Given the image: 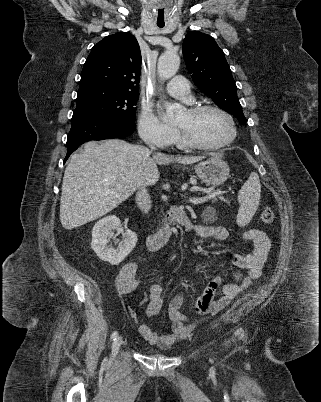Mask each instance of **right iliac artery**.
I'll return each mask as SVG.
<instances>
[{
    "instance_id": "1",
    "label": "right iliac artery",
    "mask_w": 321,
    "mask_h": 402,
    "mask_svg": "<svg viewBox=\"0 0 321 402\" xmlns=\"http://www.w3.org/2000/svg\"><path fill=\"white\" fill-rule=\"evenodd\" d=\"M117 336H118V332H117V331H114V332L112 333V335H111V338L115 340V339L117 338Z\"/></svg>"
}]
</instances>
